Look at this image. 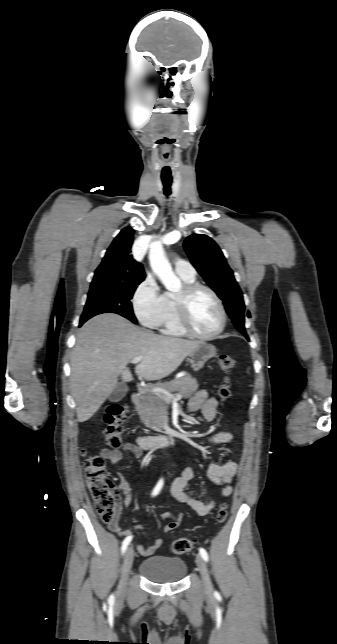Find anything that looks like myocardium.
<instances>
[{"instance_id": "1", "label": "myocardium", "mask_w": 337, "mask_h": 644, "mask_svg": "<svg viewBox=\"0 0 337 644\" xmlns=\"http://www.w3.org/2000/svg\"><path fill=\"white\" fill-rule=\"evenodd\" d=\"M200 290L207 291L214 298L215 302L218 305L221 316L219 327L214 332L206 335L196 332L193 329L189 319L190 301L192 297ZM175 312L178 324L185 332V334L200 340L208 341L217 338L220 334L223 333L227 324V312L222 299L210 286L199 282L187 283L183 286L181 291L175 296Z\"/></svg>"}]
</instances>
